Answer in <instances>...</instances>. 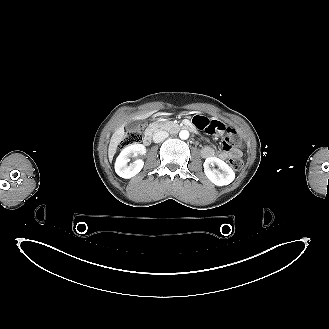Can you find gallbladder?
Masks as SVG:
<instances>
[{
    "instance_id": "obj_1",
    "label": "gallbladder",
    "mask_w": 329,
    "mask_h": 329,
    "mask_svg": "<svg viewBox=\"0 0 329 329\" xmlns=\"http://www.w3.org/2000/svg\"><path fill=\"white\" fill-rule=\"evenodd\" d=\"M143 124H144V122L132 120L126 125V127L129 130H136V129H139V127Z\"/></svg>"
}]
</instances>
